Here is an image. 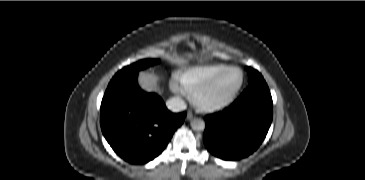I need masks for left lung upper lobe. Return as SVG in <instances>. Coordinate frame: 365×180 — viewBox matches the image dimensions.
I'll list each match as a JSON object with an SVG mask.
<instances>
[{"mask_svg":"<svg viewBox=\"0 0 365 180\" xmlns=\"http://www.w3.org/2000/svg\"><path fill=\"white\" fill-rule=\"evenodd\" d=\"M246 70L248 71L249 76V84L256 83L258 81H263L262 75L255 69L251 67H246Z\"/></svg>","mask_w":365,"mask_h":180,"instance_id":"obj_1","label":"left lung upper lobe"}]
</instances>
